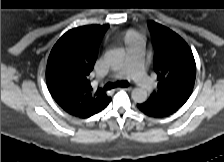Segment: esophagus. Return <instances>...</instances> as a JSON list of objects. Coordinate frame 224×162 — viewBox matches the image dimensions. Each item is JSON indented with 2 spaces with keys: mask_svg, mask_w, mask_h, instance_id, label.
Here are the masks:
<instances>
[{
  "mask_svg": "<svg viewBox=\"0 0 224 162\" xmlns=\"http://www.w3.org/2000/svg\"><path fill=\"white\" fill-rule=\"evenodd\" d=\"M119 89H121V88H117L116 90H119ZM124 90H127V91H131L132 90V88L131 87H125V88H123Z\"/></svg>",
  "mask_w": 224,
  "mask_h": 162,
  "instance_id": "esophagus-1",
  "label": "esophagus"
}]
</instances>
